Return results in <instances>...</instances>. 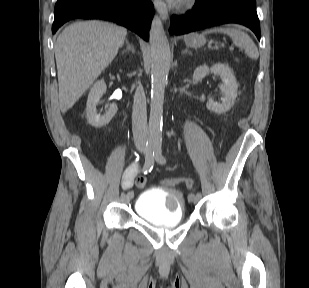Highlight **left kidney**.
Returning a JSON list of instances; mask_svg holds the SVG:
<instances>
[{
  "label": "left kidney",
  "instance_id": "5707ae66",
  "mask_svg": "<svg viewBox=\"0 0 309 288\" xmlns=\"http://www.w3.org/2000/svg\"><path fill=\"white\" fill-rule=\"evenodd\" d=\"M209 71L220 76L222 80V85L220 88L223 98L221 99V103L215 102L213 99L209 98L206 107L208 110L218 114L225 113L231 109L237 97L238 84L235 76L227 65L223 63H216L211 68L207 65L197 67L193 73V79L198 81L199 79L205 77Z\"/></svg>",
  "mask_w": 309,
  "mask_h": 288
}]
</instances>
